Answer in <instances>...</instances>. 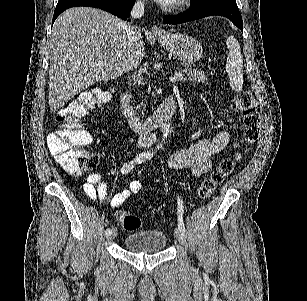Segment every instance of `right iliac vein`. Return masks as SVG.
<instances>
[{"label":"right iliac vein","instance_id":"right-iliac-vein-1","mask_svg":"<svg viewBox=\"0 0 307 301\" xmlns=\"http://www.w3.org/2000/svg\"><path fill=\"white\" fill-rule=\"evenodd\" d=\"M117 235V229L113 228L110 232V234L107 235V240L112 241Z\"/></svg>","mask_w":307,"mask_h":301}]
</instances>
